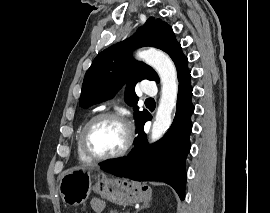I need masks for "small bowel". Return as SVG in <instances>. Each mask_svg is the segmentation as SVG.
Here are the masks:
<instances>
[{
	"label": "small bowel",
	"mask_w": 270,
	"mask_h": 213,
	"mask_svg": "<svg viewBox=\"0 0 270 213\" xmlns=\"http://www.w3.org/2000/svg\"><path fill=\"white\" fill-rule=\"evenodd\" d=\"M91 207L96 213H100L104 210V204L99 201H92Z\"/></svg>",
	"instance_id": "obj_1"
}]
</instances>
